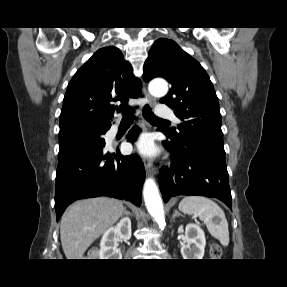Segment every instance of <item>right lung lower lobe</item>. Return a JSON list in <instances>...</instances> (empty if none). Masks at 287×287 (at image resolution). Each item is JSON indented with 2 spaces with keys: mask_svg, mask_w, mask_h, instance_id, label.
I'll return each instance as SVG.
<instances>
[{
  "mask_svg": "<svg viewBox=\"0 0 287 287\" xmlns=\"http://www.w3.org/2000/svg\"><path fill=\"white\" fill-rule=\"evenodd\" d=\"M139 132L138 127L133 128L127 140L134 142ZM104 146L105 140L76 141L60 146L55 190L57 221L67 206L78 199L109 196L141 205L145 180L141 159L134 154L123 156L119 149L107 151Z\"/></svg>",
  "mask_w": 287,
  "mask_h": 287,
  "instance_id": "1",
  "label": "right lung lower lobe"
}]
</instances>
